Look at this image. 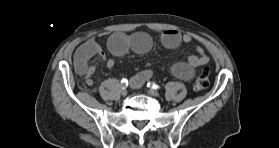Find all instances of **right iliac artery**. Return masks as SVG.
Masks as SVG:
<instances>
[{"label":"right iliac artery","instance_id":"obj_1","mask_svg":"<svg viewBox=\"0 0 279 148\" xmlns=\"http://www.w3.org/2000/svg\"><path fill=\"white\" fill-rule=\"evenodd\" d=\"M128 86V81L127 79H122L121 80V87L122 89L126 88Z\"/></svg>","mask_w":279,"mask_h":148}]
</instances>
